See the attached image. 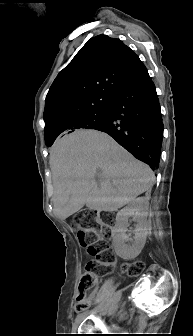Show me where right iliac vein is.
<instances>
[{"label":"right iliac vein","instance_id":"obj_1","mask_svg":"<svg viewBox=\"0 0 193 336\" xmlns=\"http://www.w3.org/2000/svg\"><path fill=\"white\" fill-rule=\"evenodd\" d=\"M115 307H116V306H114L113 309H115ZM84 317H85V314H84V313H83V314H80V315L77 316L75 322H74L73 325H72V330H73V331H75V330L77 329V327L79 326V324L81 323V321L84 319Z\"/></svg>","mask_w":193,"mask_h":336}]
</instances>
